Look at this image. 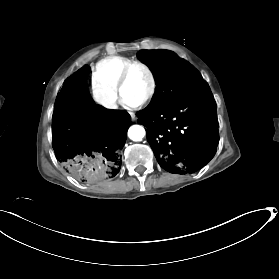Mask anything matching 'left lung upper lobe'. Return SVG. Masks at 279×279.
<instances>
[{
  "mask_svg": "<svg viewBox=\"0 0 279 279\" xmlns=\"http://www.w3.org/2000/svg\"><path fill=\"white\" fill-rule=\"evenodd\" d=\"M137 57L146 62L154 74L155 93L150 104L143 109L145 113L159 111L189 91L205 83L199 72L167 50H141Z\"/></svg>",
  "mask_w": 279,
  "mask_h": 279,
  "instance_id": "obj_1",
  "label": "left lung upper lobe"
}]
</instances>
